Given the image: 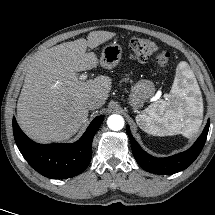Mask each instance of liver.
<instances>
[{
  "mask_svg": "<svg viewBox=\"0 0 215 215\" xmlns=\"http://www.w3.org/2000/svg\"><path fill=\"white\" fill-rule=\"evenodd\" d=\"M116 34L92 31L84 38L37 52L30 60L17 103L21 129L39 143L69 139L88 116L86 101L109 96L111 79L98 76L82 81L76 72L96 68L98 59L87 47L96 48Z\"/></svg>",
  "mask_w": 215,
  "mask_h": 215,
  "instance_id": "6515ba94",
  "label": "liver"
}]
</instances>
